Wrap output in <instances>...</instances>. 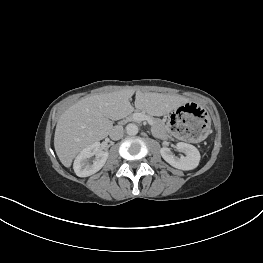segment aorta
Wrapping results in <instances>:
<instances>
[{"label": "aorta", "instance_id": "1", "mask_svg": "<svg viewBox=\"0 0 263 263\" xmlns=\"http://www.w3.org/2000/svg\"><path fill=\"white\" fill-rule=\"evenodd\" d=\"M138 126L136 124L130 123L126 126V133L130 136H134L138 133Z\"/></svg>", "mask_w": 263, "mask_h": 263}]
</instances>
